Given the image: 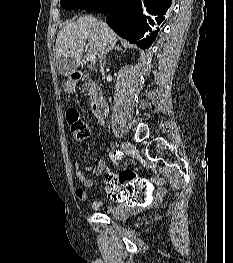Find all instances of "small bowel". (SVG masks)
<instances>
[{
  "mask_svg": "<svg viewBox=\"0 0 233 263\" xmlns=\"http://www.w3.org/2000/svg\"><path fill=\"white\" fill-rule=\"evenodd\" d=\"M99 124H103V121H100ZM75 169H76V177L84 187V188H77L75 194L80 201L84 202L88 198L85 188L94 187L93 179L88 177L86 173H91L93 176H98L104 171L105 164L103 161H100L96 166V168H93L92 166H85L84 168H82L80 163L77 162L75 165ZM150 182H154V184L159 185V187L157 188L156 192L153 193V202H147V204L144 205V207L158 205L163 200L166 194V189L164 187V183H165L164 179L156 177L151 179ZM91 208L95 211L103 210L105 213L113 216L116 219H124L130 214H134L140 211L141 209H143V208H135V205H131L130 207H128L127 205H125V202H118V204L116 205L105 206L103 201H94L91 204Z\"/></svg>",
  "mask_w": 233,
  "mask_h": 263,
  "instance_id": "1",
  "label": "small bowel"
}]
</instances>
